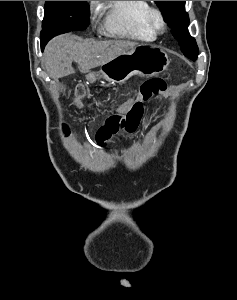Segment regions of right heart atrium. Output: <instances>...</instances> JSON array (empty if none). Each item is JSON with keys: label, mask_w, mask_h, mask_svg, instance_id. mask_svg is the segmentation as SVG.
Instances as JSON below:
<instances>
[{"label": "right heart atrium", "mask_w": 237, "mask_h": 300, "mask_svg": "<svg viewBox=\"0 0 237 300\" xmlns=\"http://www.w3.org/2000/svg\"><path fill=\"white\" fill-rule=\"evenodd\" d=\"M90 9L92 13L96 12L97 10V1H90L89 3Z\"/></svg>", "instance_id": "obj_1"}]
</instances>
